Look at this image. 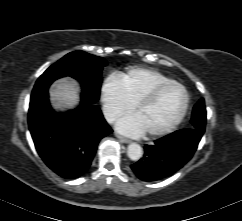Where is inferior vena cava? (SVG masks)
I'll return each mask as SVG.
<instances>
[{
	"mask_svg": "<svg viewBox=\"0 0 242 221\" xmlns=\"http://www.w3.org/2000/svg\"><path fill=\"white\" fill-rule=\"evenodd\" d=\"M103 114L109 123H113L117 119L116 110L108 104H104L102 107Z\"/></svg>",
	"mask_w": 242,
	"mask_h": 221,
	"instance_id": "obj_1",
	"label": "inferior vena cava"
}]
</instances>
